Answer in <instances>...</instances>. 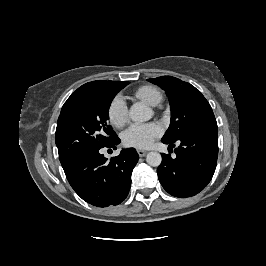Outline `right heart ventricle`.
Returning <instances> with one entry per match:
<instances>
[{
    "label": "right heart ventricle",
    "mask_w": 266,
    "mask_h": 266,
    "mask_svg": "<svg viewBox=\"0 0 266 266\" xmlns=\"http://www.w3.org/2000/svg\"><path fill=\"white\" fill-rule=\"evenodd\" d=\"M134 95L138 99H140V100H142V101H144V102H146L152 106H156V105L160 104L162 99H163V95H162L161 91L153 85H143V86L139 87L134 92Z\"/></svg>",
    "instance_id": "right-heart-ventricle-1"
}]
</instances>
